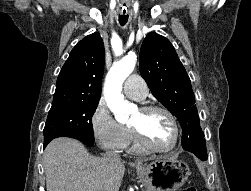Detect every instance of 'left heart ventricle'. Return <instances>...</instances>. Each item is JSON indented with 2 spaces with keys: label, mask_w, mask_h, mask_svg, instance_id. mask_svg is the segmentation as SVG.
<instances>
[{
  "label": "left heart ventricle",
  "mask_w": 251,
  "mask_h": 191,
  "mask_svg": "<svg viewBox=\"0 0 251 191\" xmlns=\"http://www.w3.org/2000/svg\"><path fill=\"white\" fill-rule=\"evenodd\" d=\"M131 125L140 128L150 144L158 149H169L175 143L176 135L173 123L162 111L145 113L138 110Z\"/></svg>",
  "instance_id": "left-heart-ventricle-1"
}]
</instances>
